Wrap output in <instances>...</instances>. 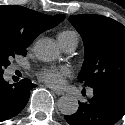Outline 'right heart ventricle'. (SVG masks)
<instances>
[{"instance_id":"1","label":"right heart ventricle","mask_w":125,"mask_h":125,"mask_svg":"<svg viewBox=\"0 0 125 125\" xmlns=\"http://www.w3.org/2000/svg\"><path fill=\"white\" fill-rule=\"evenodd\" d=\"M72 36H77L76 32L70 31V30L61 31L58 34V40L61 43V42L65 41V40L69 39Z\"/></svg>"}]
</instances>
